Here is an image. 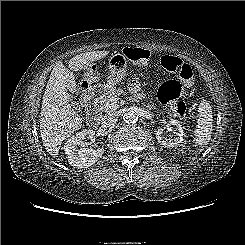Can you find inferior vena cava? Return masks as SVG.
Instances as JSON below:
<instances>
[{
  "label": "inferior vena cava",
  "mask_w": 245,
  "mask_h": 245,
  "mask_svg": "<svg viewBox=\"0 0 245 245\" xmlns=\"http://www.w3.org/2000/svg\"><path fill=\"white\" fill-rule=\"evenodd\" d=\"M118 121V115L115 112L108 113L102 118V126L111 127Z\"/></svg>",
  "instance_id": "inferior-vena-cava-1"
}]
</instances>
